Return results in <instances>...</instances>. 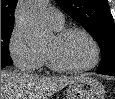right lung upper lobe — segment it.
<instances>
[{
	"label": "right lung upper lobe",
	"instance_id": "obj_1",
	"mask_svg": "<svg viewBox=\"0 0 115 99\" xmlns=\"http://www.w3.org/2000/svg\"><path fill=\"white\" fill-rule=\"evenodd\" d=\"M17 0H1V27H14Z\"/></svg>",
	"mask_w": 115,
	"mask_h": 99
}]
</instances>
